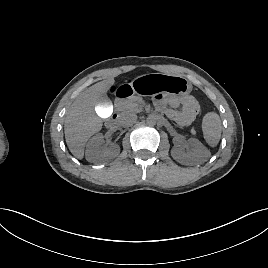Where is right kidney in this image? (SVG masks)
Instances as JSON below:
<instances>
[{"label": "right kidney", "mask_w": 268, "mask_h": 268, "mask_svg": "<svg viewBox=\"0 0 268 268\" xmlns=\"http://www.w3.org/2000/svg\"><path fill=\"white\" fill-rule=\"evenodd\" d=\"M120 153V147L117 144L111 143L104 145V136L96 134L93 136L86 147V160L95 164H105Z\"/></svg>", "instance_id": "obj_1"}]
</instances>
